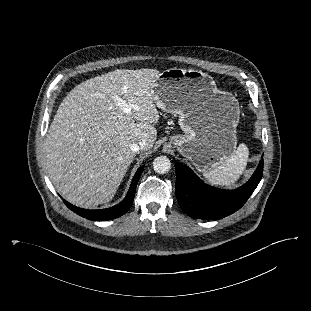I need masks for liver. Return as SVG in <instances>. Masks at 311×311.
Wrapping results in <instances>:
<instances>
[{
	"instance_id": "6515ba94",
	"label": "liver",
	"mask_w": 311,
	"mask_h": 311,
	"mask_svg": "<svg viewBox=\"0 0 311 311\" xmlns=\"http://www.w3.org/2000/svg\"><path fill=\"white\" fill-rule=\"evenodd\" d=\"M156 69H117L86 80L63 99L46 138V166L70 203L94 208L113 199L135 153L130 145L157 137L159 113L152 90ZM118 96L137 106L125 113Z\"/></svg>"
}]
</instances>
